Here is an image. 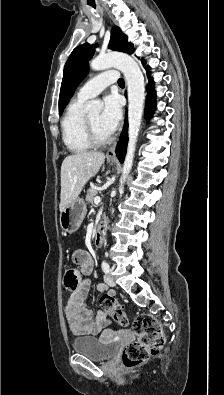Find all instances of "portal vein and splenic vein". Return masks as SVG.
I'll return each instance as SVG.
<instances>
[{
	"instance_id": "1",
	"label": "portal vein and splenic vein",
	"mask_w": 224,
	"mask_h": 395,
	"mask_svg": "<svg viewBox=\"0 0 224 395\" xmlns=\"http://www.w3.org/2000/svg\"><path fill=\"white\" fill-rule=\"evenodd\" d=\"M100 201H101L100 197L97 196V197L94 198V203L95 204H99Z\"/></svg>"
}]
</instances>
